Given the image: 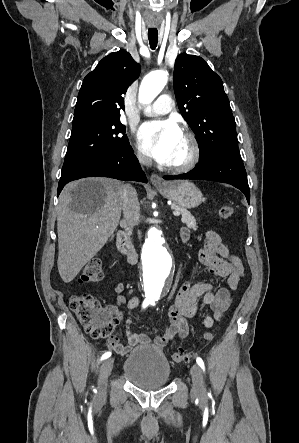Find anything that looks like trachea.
<instances>
[{
    "label": "trachea",
    "mask_w": 299,
    "mask_h": 443,
    "mask_svg": "<svg viewBox=\"0 0 299 443\" xmlns=\"http://www.w3.org/2000/svg\"><path fill=\"white\" fill-rule=\"evenodd\" d=\"M148 38L151 49H155L158 43V31L156 29L148 30Z\"/></svg>",
    "instance_id": "3493384b"
}]
</instances>
